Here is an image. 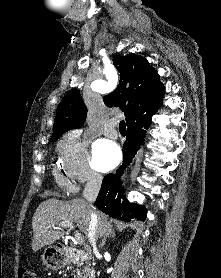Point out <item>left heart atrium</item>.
I'll use <instances>...</instances> for the list:
<instances>
[{
  "label": "left heart atrium",
  "instance_id": "39dd6f15",
  "mask_svg": "<svg viewBox=\"0 0 221 278\" xmlns=\"http://www.w3.org/2000/svg\"><path fill=\"white\" fill-rule=\"evenodd\" d=\"M121 159L119 146L110 140L100 139L93 146V161L95 167L102 171H108L115 167Z\"/></svg>",
  "mask_w": 221,
  "mask_h": 278
}]
</instances>
